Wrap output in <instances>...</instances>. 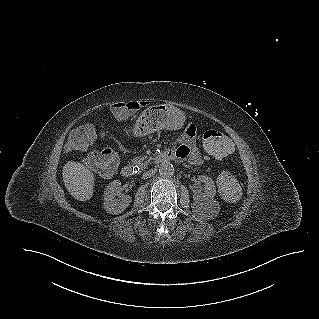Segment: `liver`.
<instances>
[{
  "label": "liver",
  "mask_w": 319,
  "mask_h": 319,
  "mask_svg": "<svg viewBox=\"0 0 319 319\" xmlns=\"http://www.w3.org/2000/svg\"><path fill=\"white\" fill-rule=\"evenodd\" d=\"M63 181L70 195L79 201H87L94 193L95 177L84 164L68 161L63 166Z\"/></svg>",
  "instance_id": "obj_1"
}]
</instances>
